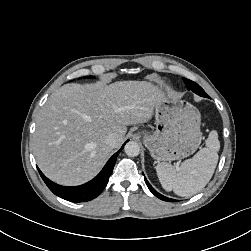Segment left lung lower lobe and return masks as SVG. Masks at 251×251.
Returning a JSON list of instances; mask_svg holds the SVG:
<instances>
[{"label":"left lung lower lobe","instance_id":"left-lung-lower-lobe-1","mask_svg":"<svg viewBox=\"0 0 251 251\" xmlns=\"http://www.w3.org/2000/svg\"><path fill=\"white\" fill-rule=\"evenodd\" d=\"M145 182H146V185L148 186L149 190L158 198H160L161 200H164V201H167V202H173L175 200L171 199V198H167L161 194H159L150 184L149 182L147 181L146 178H144Z\"/></svg>","mask_w":251,"mask_h":251}]
</instances>
